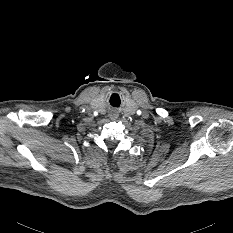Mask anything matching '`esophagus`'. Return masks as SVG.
I'll return each mask as SVG.
<instances>
[{
    "label": "esophagus",
    "mask_w": 233,
    "mask_h": 233,
    "mask_svg": "<svg viewBox=\"0 0 233 233\" xmlns=\"http://www.w3.org/2000/svg\"><path fill=\"white\" fill-rule=\"evenodd\" d=\"M117 117H118V114L115 113V112H112V113L110 114V118H111L112 120H115Z\"/></svg>",
    "instance_id": "34e87169"
}]
</instances>
